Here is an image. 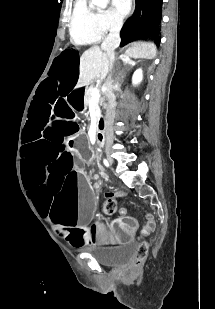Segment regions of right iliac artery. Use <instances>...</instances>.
<instances>
[{
    "label": "right iliac artery",
    "instance_id": "1",
    "mask_svg": "<svg viewBox=\"0 0 215 309\" xmlns=\"http://www.w3.org/2000/svg\"><path fill=\"white\" fill-rule=\"evenodd\" d=\"M104 164H105V166H109V163H108V161L106 160V159H104Z\"/></svg>",
    "mask_w": 215,
    "mask_h": 309
}]
</instances>
